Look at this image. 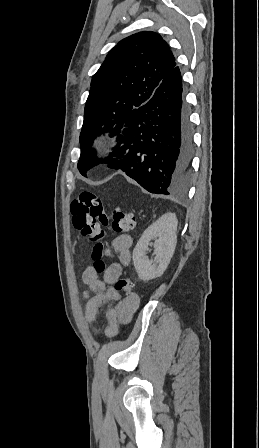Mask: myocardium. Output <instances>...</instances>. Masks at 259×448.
Segmentation results:
<instances>
[{
    "mask_svg": "<svg viewBox=\"0 0 259 448\" xmlns=\"http://www.w3.org/2000/svg\"><path fill=\"white\" fill-rule=\"evenodd\" d=\"M106 139V134L104 132H98L95 136V142L97 144H103L105 142Z\"/></svg>",
    "mask_w": 259,
    "mask_h": 448,
    "instance_id": "f54148a6",
    "label": "myocardium"
}]
</instances>
